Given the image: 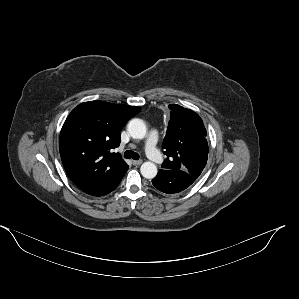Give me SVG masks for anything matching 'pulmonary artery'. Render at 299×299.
Masks as SVG:
<instances>
[{
  "mask_svg": "<svg viewBox=\"0 0 299 299\" xmlns=\"http://www.w3.org/2000/svg\"><path fill=\"white\" fill-rule=\"evenodd\" d=\"M157 141H158V133L155 130H151L147 136V139L145 141V151L149 159L159 164L163 162V157L157 150Z\"/></svg>",
  "mask_w": 299,
  "mask_h": 299,
  "instance_id": "obj_1",
  "label": "pulmonary artery"
}]
</instances>
